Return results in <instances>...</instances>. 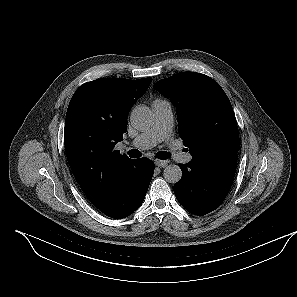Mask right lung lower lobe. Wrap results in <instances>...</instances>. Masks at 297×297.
I'll use <instances>...</instances> for the list:
<instances>
[{"label": "right lung lower lobe", "mask_w": 297, "mask_h": 297, "mask_svg": "<svg viewBox=\"0 0 297 297\" xmlns=\"http://www.w3.org/2000/svg\"><path fill=\"white\" fill-rule=\"evenodd\" d=\"M154 169V163L148 158L133 160L114 185L106 201L96 208L114 219L132 214L144 200Z\"/></svg>", "instance_id": "right-lung-lower-lobe-1"}]
</instances>
